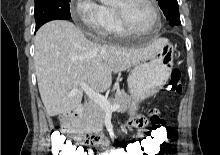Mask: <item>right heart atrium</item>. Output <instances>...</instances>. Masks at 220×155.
<instances>
[{
    "label": "right heart atrium",
    "mask_w": 220,
    "mask_h": 155,
    "mask_svg": "<svg viewBox=\"0 0 220 155\" xmlns=\"http://www.w3.org/2000/svg\"><path fill=\"white\" fill-rule=\"evenodd\" d=\"M71 15L88 32L105 34L107 28L105 8L95 0H75L71 7Z\"/></svg>",
    "instance_id": "1"
}]
</instances>
